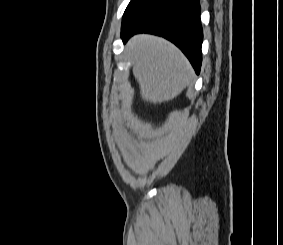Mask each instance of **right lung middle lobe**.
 Returning <instances> with one entry per match:
<instances>
[{
	"instance_id": "1",
	"label": "right lung middle lobe",
	"mask_w": 283,
	"mask_h": 245,
	"mask_svg": "<svg viewBox=\"0 0 283 245\" xmlns=\"http://www.w3.org/2000/svg\"><path fill=\"white\" fill-rule=\"evenodd\" d=\"M151 1L152 0H131L124 12L122 23L132 18L139 10H141Z\"/></svg>"
}]
</instances>
